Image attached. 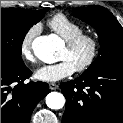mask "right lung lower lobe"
I'll use <instances>...</instances> for the list:
<instances>
[{"label": "right lung lower lobe", "instance_id": "right-lung-lower-lobe-1", "mask_svg": "<svg viewBox=\"0 0 123 123\" xmlns=\"http://www.w3.org/2000/svg\"><path fill=\"white\" fill-rule=\"evenodd\" d=\"M31 74L25 65H1V123H29L35 106L50 92L45 82L24 83Z\"/></svg>", "mask_w": 123, "mask_h": 123}]
</instances>
